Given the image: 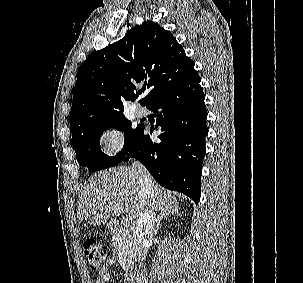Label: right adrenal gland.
<instances>
[{"label": "right adrenal gland", "instance_id": "obj_1", "mask_svg": "<svg viewBox=\"0 0 303 283\" xmlns=\"http://www.w3.org/2000/svg\"><path fill=\"white\" fill-rule=\"evenodd\" d=\"M177 216H180L178 209L172 210L171 212L168 213H162L160 214V216H157L154 232L156 233L158 231L163 219H167L169 217H177Z\"/></svg>", "mask_w": 303, "mask_h": 283}]
</instances>
